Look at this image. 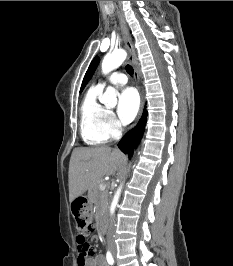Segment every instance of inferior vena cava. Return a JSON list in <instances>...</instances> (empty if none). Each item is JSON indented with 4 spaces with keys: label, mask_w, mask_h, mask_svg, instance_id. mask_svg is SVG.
I'll return each instance as SVG.
<instances>
[{
    "label": "inferior vena cava",
    "mask_w": 233,
    "mask_h": 266,
    "mask_svg": "<svg viewBox=\"0 0 233 266\" xmlns=\"http://www.w3.org/2000/svg\"><path fill=\"white\" fill-rule=\"evenodd\" d=\"M110 245H111V246H113V245H114L112 240H110Z\"/></svg>",
    "instance_id": "inferior-vena-cava-1"
}]
</instances>
